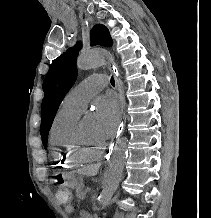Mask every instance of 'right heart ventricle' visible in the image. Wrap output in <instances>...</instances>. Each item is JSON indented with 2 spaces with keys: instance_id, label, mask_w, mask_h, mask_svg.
I'll use <instances>...</instances> for the list:
<instances>
[{
  "instance_id": "1",
  "label": "right heart ventricle",
  "mask_w": 211,
  "mask_h": 218,
  "mask_svg": "<svg viewBox=\"0 0 211 218\" xmlns=\"http://www.w3.org/2000/svg\"><path fill=\"white\" fill-rule=\"evenodd\" d=\"M79 111L62 105L51 126V138L55 144L50 147L53 165L56 169H78L79 163H86L97 156L81 153L75 146V131L80 116Z\"/></svg>"
}]
</instances>
